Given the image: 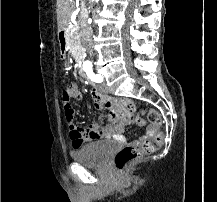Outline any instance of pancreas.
<instances>
[{
  "mask_svg": "<svg viewBox=\"0 0 217 202\" xmlns=\"http://www.w3.org/2000/svg\"><path fill=\"white\" fill-rule=\"evenodd\" d=\"M69 44L70 52H72V54H77V50L80 48V36L77 34V30L76 32H71Z\"/></svg>",
  "mask_w": 217,
  "mask_h": 202,
  "instance_id": "obj_1",
  "label": "pancreas"
}]
</instances>
